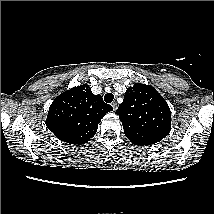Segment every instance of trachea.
<instances>
[{"mask_svg":"<svg viewBox=\"0 0 214 214\" xmlns=\"http://www.w3.org/2000/svg\"><path fill=\"white\" fill-rule=\"evenodd\" d=\"M114 99V95L112 93H107L104 96V100L106 103H111Z\"/></svg>","mask_w":214,"mask_h":214,"instance_id":"trachea-1","label":"trachea"}]
</instances>
